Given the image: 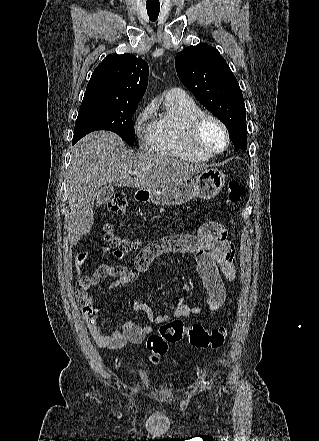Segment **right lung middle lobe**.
I'll return each instance as SVG.
<instances>
[{
	"mask_svg": "<svg viewBox=\"0 0 319 441\" xmlns=\"http://www.w3.org/2000/svg\"><path fill=\"white\" fill-rule=\"evenodd\" d=\"M136 108L137 104L83 101L78 112L72 144L90 132L109 130L118 134L128 144L134 145L132 117Z\"/></svg>",
	"mask_w": 319,
	"mask_h": 441,
	"instance_id": "right-lung-middle-lobe-1",
	"label": "right lung middle lobe"
}]
</instances>
